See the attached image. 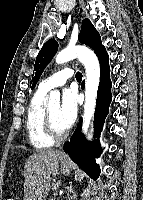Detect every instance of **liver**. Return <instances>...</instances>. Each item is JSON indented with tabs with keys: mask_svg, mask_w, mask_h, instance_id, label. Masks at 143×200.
I'll return each mask as SVG.
<instances>
[{
	"mask_svg": "<svg viewBox=\"0 0 143 200\" xmlns=\"http://www.w3.org/2000/svg\"><path fill=\"white\" fill-rule=\"evenodd\" d=\"M65 157L62 151L38 150L24 165V200H45L51 186L50 176L55 175L59 161Z\"/></svg>",
	"mask_w": 143,
	"mask_h": 200,
	"instance_id": "6515ba94",
	"label": "liver"
}]
</instances>
